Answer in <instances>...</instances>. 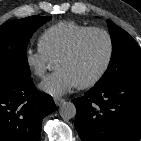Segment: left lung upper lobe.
<instances>
[{
    "mask_svg": "<svg viewBox=\"0 0 141 141\" xmlns=\"http://www.w3.org/2000/svg\"><path fill=\"white\" fill-rule=\"evenodd\" d=\"M112 41V57L104 76L95 86L106 85L117 80L141 76V49L123 29L108 20Z\"/></svg>",
    "mask_w": 141,
    "mask_h": 141,
    "instance_id": "left-lung-upper-lobe-1",
    "label": "left lung upper lobe"
}]
</instances>
